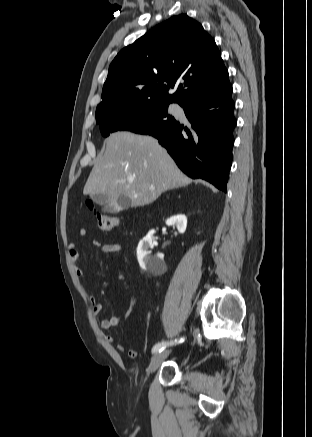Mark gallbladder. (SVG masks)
Returning a JSON list of instances; mask_svg holds the SVG:
<instances>
[{"instance_id": "obj_1", "label": "gallbladder", "mask_w": 312, "mask_h": 437, "mask_svg": "<svg viewBox=\"0 0 312 437\" xmlns=\"http://www.w3.org/2000/svg\"><path fill=\"white\" fill-rule=\"evenodd\" d=\"M91 199L96 204L102 205V211L110 214H117L122 209H127L130 206V200L121 196L117 204H113L106 194H93Z\"/></svg>"}]
</instances>
